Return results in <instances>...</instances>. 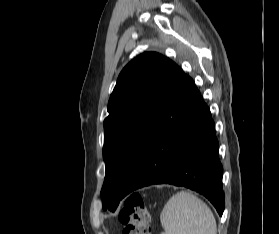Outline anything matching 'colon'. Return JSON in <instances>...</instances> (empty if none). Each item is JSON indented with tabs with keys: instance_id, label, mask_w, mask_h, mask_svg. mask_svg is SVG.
Returning a JSON list of instances; mask_svg holds the SVG:
<instances>
[{
	"instance_id": "1",
	"label": "colon",
	"mask_w": 279,
	"mask_h": 234,
	"mask_svg": "<svg viewBox=\"0 0 279 234\" xmlns=\"http://www.w3.org/2000/svg\"><path fill=\"white\" fill-rule=\"evenodd\" d=\"M119 220L124 225L122 234H151L149 210L139 194L125 199Z\"/></svg>"
}]
</instances>
